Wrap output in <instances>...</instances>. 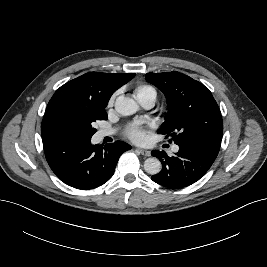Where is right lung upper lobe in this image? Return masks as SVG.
Returning a JSON list of instances; mask_svg holds the SVG:
<instances>
[{
    "label": "right lung upper lobe",
    "mask_w": 267,
    "mask_h": 267,
    "mask_svg": "<svg viewBox=\"0 0 267 267\" xmlns=\"http://www.w3.org/2000/svg\"><path fill=\"white\" fill-rule=\"evenodd\" d=\"M135 75L134 73L89 72L67 82L56 90L49 101L42 120L41 133L54 132L51 125V115L58 105L64 102H71L105 108L111 95L134 78Z\"/></svg>",
    "instance_id": "obj_1"
}]
</instances>
